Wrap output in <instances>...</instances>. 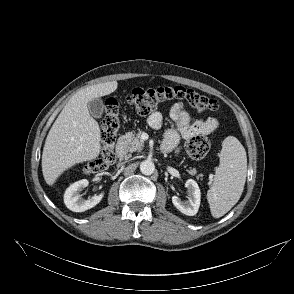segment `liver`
<instances>
[{"instance_id":"1","label":"liver","mask_w":294,"mask_h":294,"mask_svg":"<svg viewBox=\"0 0 294 294\" xmlns=\"http://www.w3.org/2000/svg\"><path fill=\"white\" fill-rule=\"evenodd\" d=\"M116 81L92 85L70 98L52 125L43 148L42 172L52 186L72 166L98 157L101 131L91 117L88 103L117 89Z\"/></svg>"}]
</instances>
